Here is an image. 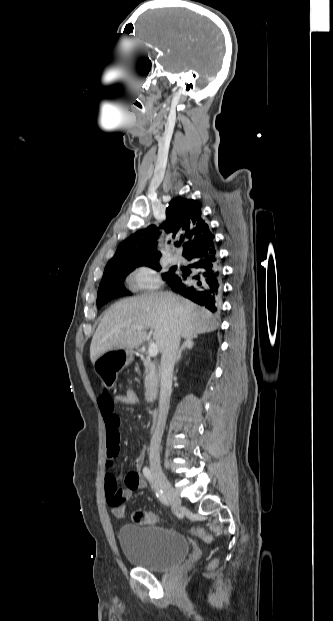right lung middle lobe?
Here are the masks:
<instances>
[{"label": "right lung middle lobe", "instance_id": "right-lung-middle-lobe-1", "mask_svg": "<svg viewBox=\"0 0 333 621\" xmlns=\"http://www.w3.org/2000/svg\"><path fill=\"white\" fill-rule=\"evenodd\" d=\"M139 266H148L157 271L161 269L159 258L106 266L98 289L97 307L104 305L114 298L130 295L131 293L127 291L123 285V280L128 273ZM173 271L174 269L171 268L169 272L162 274V278L167 280L173 274Z\"/></svg>", "mask_w": 333, "mask_h": 621}]
</instances>
